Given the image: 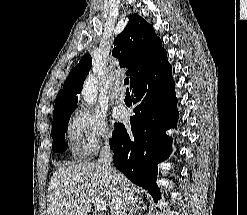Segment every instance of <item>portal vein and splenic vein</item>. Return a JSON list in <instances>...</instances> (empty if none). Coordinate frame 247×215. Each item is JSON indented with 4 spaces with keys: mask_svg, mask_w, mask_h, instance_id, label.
Segmentation results:
<instances>
[{
    "mask_svg": "<svg viewBox=\"0 0 247 215\" xmlns=\"http://www.w3.org/2000/svg\"><path fill=\"white\" fill-rule=\"evenodd\" d=\"M88 194L90 196H92V194L90 192H88ZM91 199H92V203L94 204V207L98 211H104V210H106V203L102 199L94 198V197H91Z\"/></svg>",
    "mask_w": 247,
    "mask_h": 215,
    "instance_id": "obj_1",
    "label": "portal vein and splenic vein"
}]
</instances>
